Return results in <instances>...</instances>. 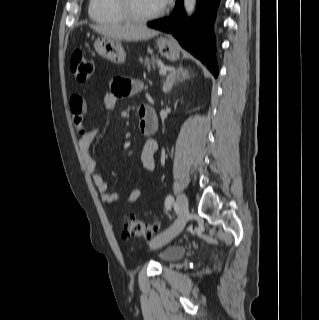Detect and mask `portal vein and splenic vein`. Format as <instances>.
Wrapping results in <instances>:
<instances>
[{
	"label": "portal vein and splenic vein",
	"mask_w": 319,
	"mask_h": 320,
	"mask_svg": "<svg viewBox=\"0 0 319 320\" xmlns=\"http://www.w3.org/2000/svg\"><path fill=\"white\" fill-rule=\"evenodd\" d=\"M159 74L160 75H166L167 74V69L163 66L160 67L159 69Z\"/></svg>",
	"instance_id": "18ae733b"
}]
</instances>
